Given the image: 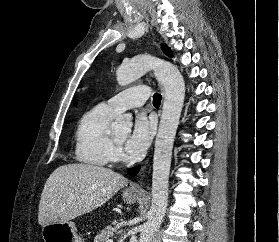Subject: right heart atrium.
<instances>
[{
  "label": "right heart atrium",
  "mask_w": 279,
  "mask_h": 242,
  "mask_svg": "<svg viewBox=\"0 0 279 242\" xmlns=\"http://www.w3.org/2000/svg\"><path fill=\"white\" fill-rule=\"evenodd\" d=\"M122 156V153L120 150H117V153H116V159L120 158Z\"/></svg>",
  "instance_id": "1"
}]
</instances>
